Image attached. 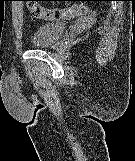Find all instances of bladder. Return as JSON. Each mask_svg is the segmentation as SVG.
<instances>
[{"label": "bladder", "mask_w": 135, "mask_h": 161, "mask_svg": "<svg viewBox=\"0 0 135 161\" xmlns=\"http://www.w3.org/2000/svg\"><path fill=\"white\" fill-rule=\"evenodd\" d=\"M65 25L59 22L41 24L31 35L30 45L34 48H48L54 46L64 35Z\"/></svg>", "instance_id": "31cf9c89"}]
</instances>
